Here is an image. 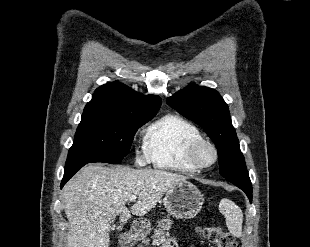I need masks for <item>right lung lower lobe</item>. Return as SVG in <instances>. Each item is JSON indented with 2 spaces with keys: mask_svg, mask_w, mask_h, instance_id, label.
Segmentation results:
<instances>
[{
  "mask_svg": "<svg viewBox=\"0 0 310 247\" xmlns=\"http://www.w3.org/2000/svg\"><path fill=\"white\" fill-rule=\"evenodd\" d=\"M86 163L74 165L71 167H66L64 172V177L61 182V188L64 186V184L80 169L82 168Z\"/></svg>",
  "mask_w": 310,
  "mask_h": 247,
  "instance_id": "right-lung-lower-lobe-1",
  "label": "right lung lower lobe"
}]
</instances>
